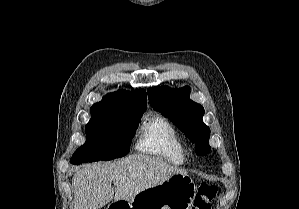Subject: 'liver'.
<instances>
[{"mask_svg": "<svg viewBox=\"0 0 299 209\" xmlns=\"http://www.w3.org/2000/svg\"><path fill=\"white\" fill-rule=\"evenodd\" d=\"M173 174L187 175L181 168L141 154L84 166L72 178L74 209H99L113 199L132 198Z\"/></svg>", "mask_w": 299, "mask_h": 209, "instance_id": "6515ba94", "label": "liver"}]
</instances>
